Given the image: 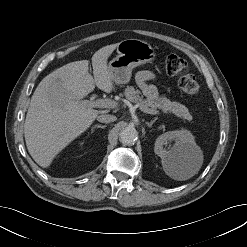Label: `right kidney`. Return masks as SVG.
I'll return each instance as SVG.
<instances>
[{
  "mask_svg": "<svg viewBox=\"0 0 247 247\" xmlns=\"http://www.w3.org/2000/svg\"><path fill=\"white\" fill-rule=\"evenodd\" d=\"M83 144H84V141L79 142L80 146H83Z\"/></svg>",
  "mask_w": 247,
  "mask_h": 247,
  "instance_id": "obj_1",
  "label": "right kidney"
}]
</instances>
